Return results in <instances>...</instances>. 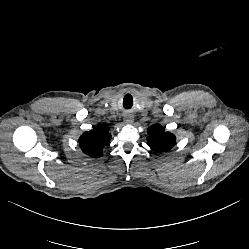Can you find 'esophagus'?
I'll return each instance as SVG.
<instances>
[{
  "mask_svg": "<svg viewBox=\"0 0 249 249\" xmlns=\"http://www.w3.org/2000/svg\"><path fill=\"white\" fill-rule=\"evenodd\" d=\"M123 120L126 124H132L134 122V116L132 114H125Z\"/></svg>",
  "mask_w": 249,
  "mask_h": 249,
  "instance_id": "obj_1",
  "label": "esophagus"
}]
</instances>
